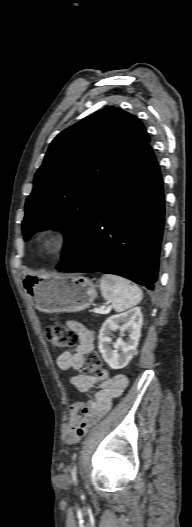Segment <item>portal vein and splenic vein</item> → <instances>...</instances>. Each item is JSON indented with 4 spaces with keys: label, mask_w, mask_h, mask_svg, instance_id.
I'll use <instances>...</instances> for the list:
<instances>
[{
    "label": "portal vein and splenic vein",
    "mask_w": 192,
    "mask_h": 527,
    "mask_svg": "<svg viewBox=\"0 0 192 527\" xmlns=\"http://www.w3.org/2000/svg\"><path fill=\"white\" fill-rule=\"evenodd\" d=\"M94 312H95V313H104V310L101 309V308H95V309H94Z\"/></svg>",
    "instance_id": "obj_1"
}]
</instances>
